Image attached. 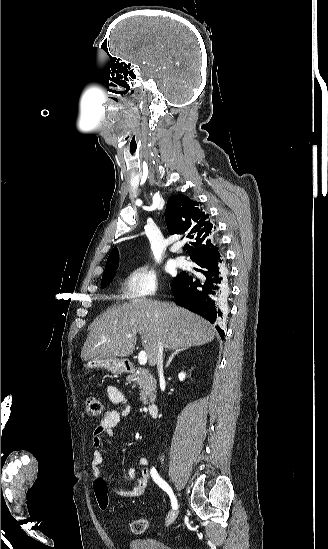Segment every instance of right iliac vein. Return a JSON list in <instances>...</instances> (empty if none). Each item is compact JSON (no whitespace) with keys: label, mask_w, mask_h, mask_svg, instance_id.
Segmentation results:
<instances>
[{"label":"right iliac vein","mask_w":328,"mask_h":549,"mask_svg":"<svg viewBox=\"0 0 328 549\" xmlns=\"http://www.w3.org/2000/svg\"><path fill=\"white\" fill-rule=\"evenodd\" d=\"M178 508L175 509V511L171 512L168 517H167V520H166V525L169 526L171 525L177 518L178 516Z\"/></svg>","instance_id":"obj_1"}]
</instances>
